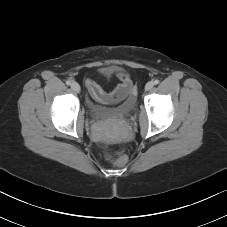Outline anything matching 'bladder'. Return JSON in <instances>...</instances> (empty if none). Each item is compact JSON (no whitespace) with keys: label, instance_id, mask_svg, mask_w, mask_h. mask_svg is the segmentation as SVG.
Masks as SVG:
<instances>
[{"label":"bladder","instance_id":"1","mask_svg":"<svg viewBox=\"0 0 227 227\" xmlns=\"http://www.w3.org/2000/svg\"><path fill=\"white\" fill-rule=\"evenodd\" d=\"M134 107L135 100L130 96L121 101L120 105L116 108H111L98 103H88L89 113L96 121H106L117 116L127 115Z\"/></svg>","mask_w":227,"mask_h":227}]
</instances>
